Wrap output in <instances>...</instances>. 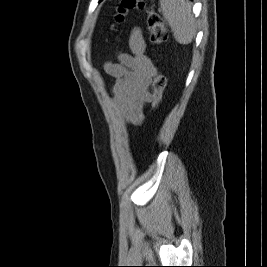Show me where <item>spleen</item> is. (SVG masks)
Instances as JSON below:
<instances>
[{"instance_id": "spleen-1", "label": "spleen", "mask_w": 267, "mask_h": 267, "mask_svg": "<svg viewBox=\"0 0 267 267\" xmlns=\"http://www.w3.org/2000/svg\"><path fill=\"white\" fill-rule=\"evenodd\" d=\"M160 11L169 24L175 40L180 44H189L196 34V20L192 5L185 0H159Z\"/></svg>"}]
</instances>
